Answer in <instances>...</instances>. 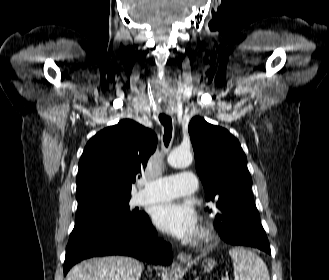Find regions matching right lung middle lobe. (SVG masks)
<instances>
[{
    "label": "right lung middle lobe",
    "instance_id": "1",
    "mask_svg": "<svg viewBox=\"0 0 329 280\" xmlns=\"http://www.w3.org/2000/svg\"><path fill=\"white\" fill-rule=\"evenodd\" d=\"M129 200L130 198L107 195H92L77 199L78 211L75 226L96 217H110L132 225H138L146 218V214L130 210Z\"/></svg>",
    "mask_w": 329,
    "mask_h": 280
}]
</instances>
